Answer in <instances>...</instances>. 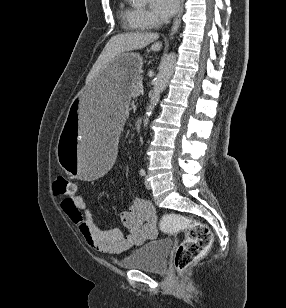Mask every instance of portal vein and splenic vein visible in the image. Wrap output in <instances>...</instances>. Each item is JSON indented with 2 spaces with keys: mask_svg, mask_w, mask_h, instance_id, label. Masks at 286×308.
<instances>
[{
  "mask_svg": "<svg viewBox=\"0 0 286 308\" xmlns=\"http://www.w3.org/2000/svg\"><path fill=\"white\" fill-rule=\"evenodd\" d=\"M140 93H141V94H143V93H144V90H143V88H141V89H140Z\"/></svg>",
  "mask_w": 286,
  "mask_h": 308,
  "instance_id": "obj_1",
  "label": "portal vein and splenic vein"
}]
</instances>
